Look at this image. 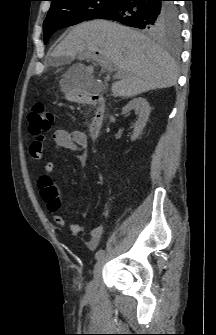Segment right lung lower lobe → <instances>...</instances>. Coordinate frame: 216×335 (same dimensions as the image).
Instances as JSON below:
<instances>
[{"label":"right lung lower lobe","instance_id":"obj_1","mask_svg":"<svg viewBox=\"0 0 216 335\" xmlns=\"http://www.w3.org/2000/svg\"><path fill=\"white\" fill-rule=\"evenodd\" d=\"M167 0H118L99 19L115 20L130 27L158 32L169 14L173 24L179 22L177 9Z\"/></svg>","mask_w":216,"mask_h":335}]
</instances>
